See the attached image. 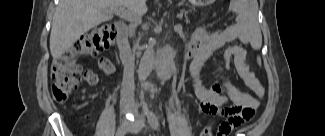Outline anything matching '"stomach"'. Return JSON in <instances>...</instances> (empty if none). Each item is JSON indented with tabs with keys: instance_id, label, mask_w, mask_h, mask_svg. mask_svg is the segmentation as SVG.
<instances>
[{
	"instance_id": "1",
	"label": "stomach",
	"mask_w": 325,
	"mask_h": 136,
	"mask_svg": "<svg viewBox=\"0 0 325 136\" xmlns=\"http://www.w3.org/2000/svg\"><path fill=\"white\" fill-rule=\"evenodd\" d=\"M195 5H205L206 3L212 2L211 0H191Z\"/></svg>"
}]
</instances>
